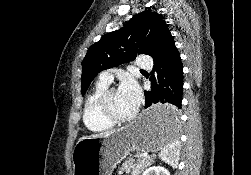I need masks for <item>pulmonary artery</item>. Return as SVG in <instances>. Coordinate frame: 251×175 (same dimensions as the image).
Segmentation results:
<instances>
[{"mask_svg": "<svg viewBox=\"0 0 251 175\" xmlns=\"http://www.w3.org/2000/svg\"><path fill=\"white\" fill-rule=\"evenodd\" d=\"M135 66L141 67L142 70H152V67H154L153 58H151V55H143V58H138ZM99 80L109 84L113 80V74L110 71L103 72L100 74Z\"/></svg>", "mask_w": 251, "mask_h": 175, "instance_id": "1", "label": "pulmonary artery"}]
</instances>
